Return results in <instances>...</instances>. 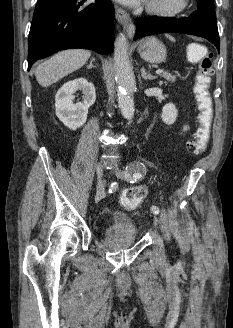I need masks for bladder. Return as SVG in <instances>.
Here are the masks:
<instances>
[{
	"instance_id": "1",
	"label": "bladder",
	"mask_w": 233,
	"mask_h": 328,
	"mask_svg": "<svg viewBox=\"0 0 233 328\" xmlns=\"http://www.w3.org/2000/svg\"><path fill=\"white\" fill-rule=\"evenodd\" d=\"M112 227L129 234L132 241L136 240L137 231L134 220L126 213L115 212L112 215Z\"/></svg>"
}]
</instances>
